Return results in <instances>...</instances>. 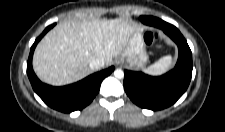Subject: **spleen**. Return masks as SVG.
<instances>
[{
  "instance_id": "spleen-1",
  "label": "spleen",
  "mask_w": 225,
  "mask_h": 132,
  "mask_svg": "<svg viewBox=\"0 0 225 132\" xmlns=\"http://www.w3.org/2000/svg\"><path fill=\"white\" fill-rule=\"evenodd\" d=\"M172 66L173 58L165 56L146 68L144 72L152 76H160L170 70Z\"/></svg>"
}]
</instances>
